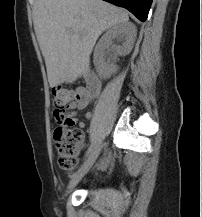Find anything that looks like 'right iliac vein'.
I'll list each match as a JSON object with an SVG mask.
<instances>
[{"label":"right iliac vein","instance_id":"obj_1","mask_svg":"<svg viewBox=\"0 0 202 217\" xmlns=\"http://www.w3.org/2000/svg\"><path fill=\"white\" fill-rule=\"evenodd\" d=\"M102 149V144H98L93 152L90 154L88 159L85 161V163L82 165V167L72 176L68 187L67 192H70L75 188V186L80 182V180L84 177V175L91 169V167L94 165L95 161L97 160L100 152Z\"/></svg>","mask_w":202,"mask_h":217}]
</instances>
